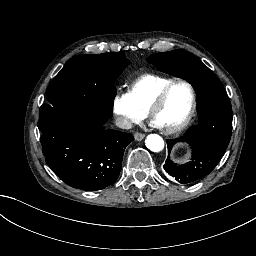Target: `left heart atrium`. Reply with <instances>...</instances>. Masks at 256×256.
Here are the masks:
<instances>
[{"label":"left heart atrium","mask_w":256,"mask_h":256,"mask_svg":"<svg viewBox=\"0 0 256 256\" xmlns=\"http://www.w3.org/2000/svg\"><path fill=\"white\" fill-rule=\"evenodd\" d=\"M151 126L163 130L162 124L154 118L151 119Z\"/></svg>","instance_id":"obj_1"}]
</instances>
